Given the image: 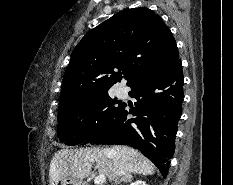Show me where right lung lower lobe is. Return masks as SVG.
Wrapping results in <instances>:
<instances>
[{"instance_id":"1","label":"right lung lower lobe","mask_w":233,"mask_h":185,"mask_svg":"<svg viewBox=\"0 0 233 185\" xmlns=\"http://www.w3.org/2000/svg\"><path fill=\"white\" fill-rule=\"evenodd\" d=\"M184 77L176 61L148 71L129 87L135 106L122 103L110 121L87 139L93 144H130L149 158L166 177L175 150L182 113ZM128 115H133L127 119Z\"/></svg>"}]
</instances>
